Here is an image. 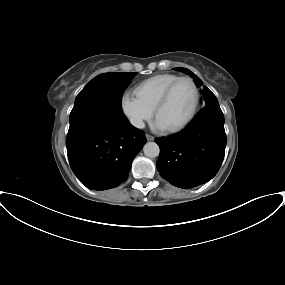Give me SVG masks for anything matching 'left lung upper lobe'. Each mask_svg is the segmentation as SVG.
<instances>
[{
  "instance_id": "obj_1",
  "label": "left lung upper lobe",
  "mask_w": 285,
  "mask_h": 285,
  "mask_svg": "<svg viewBox=\"0 0 285 285\" xmlns=\"http://www.w3.org/2000/svg\"><path fill=\"white\" fill-rule=\"evenodd\" d=\"M174 69L178 70V71H183L184 73L189 74L191 77L194 78V81H195L197 86L201 85V83H202L201 80L194 73H192L190 70H188L186 68H174ZM202 96L205 100L206 105L200 110L199 113H202L203 111H206V110H221L219 107V103H218L217 98L206 86L203 87Z\"/></svg>"
}]
</instances>
